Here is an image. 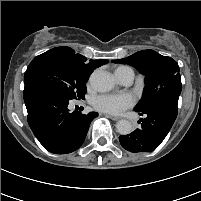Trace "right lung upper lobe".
Returning a JSON list of instances; mask_svg holds the SVG:
<instances>
[{"label":"right lung upper lobe","instance_id":"cb5924a9","mask_svg":"<svg viewBox=\"0 0 201 201\" xmlns=\"http://www.w3.org/2000/svg\"><path fill=\"white\" fill-rule=\"evenodd\" d=\"M45 53H57L61 55L67 62L69 68L76 75L87 80L94 69L108 62V60H90V62H86V58L84 56L75 54L73 49L66 46L56 47Z\"/></svg>","mask_w":201,"mask_h":201}]
</instances>
